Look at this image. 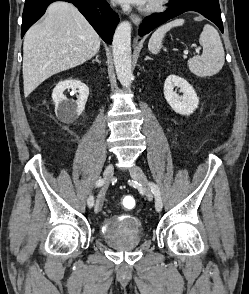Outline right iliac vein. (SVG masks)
Listing matches in <instances>:
<instances>
[{
    "mask_svg": "<svg viewBox=\"0 0 249 294\" xmlns=\"http://www.w3.org/2000/svg\"><path fill=\"white\" fill-rule=\"evenodd\" d=\"M113 173H114L113 165L108 164L104 170V173H103V178H104L105 184H104L103 188L101 189L100 193L98 194V197H97L96 203H95V212L96 213H98L103 207L106 188L113 177Z\"/></svg>",
    "mask_w": 249,
    "mask_h": 294,
    "instance_id": "1",
    "label": "right iliac vein"
}]
</instances>
